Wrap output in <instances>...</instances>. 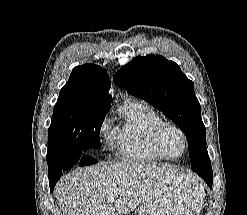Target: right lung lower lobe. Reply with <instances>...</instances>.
Masks as SVG:
<instances>
[{
  "mask_svg": "<svg viewBox=\"0 0 247 215\" xmlns=\"http://www.w3.org/2000/svg\"><path fill=\"white\" fill-rule=\"evenodd\" d=\"M96 162L97 160L93 157L87 155L86 153H80L77 150H69L60 154L52 164H48V176L51 191L60 179L64 170L70 169L75 164L85 166Z\"/></svg>",
  "mask_w": 247,
  "mask_h": 215,
  "instance_id": "right-lung-lower-lobe-1",
  "label": "right lung lower lobe"
}]
</instances>
